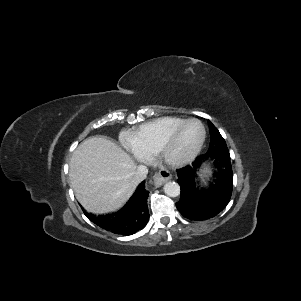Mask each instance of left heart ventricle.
I'll use <instances>...</instances> for the list:
<instances>
[{
    "instance_id": "left-heart-ventricle-1",
    "label": "left heart ventricle",
    "mask_w": 301,
    "mask_h": 301,
    "mask_svg": "<svg viewBox=\"0 0 301 301\" xmlns=\"http://www.w3.org/2000/svg\"><path fill=\"white\" fill-rule=\"evenodd\" d=\"M202 136V128L197 122L188 123L175 139L170 155L173 158H183L189 155L198 145Z\"/></svg>"
}]
</instances>
